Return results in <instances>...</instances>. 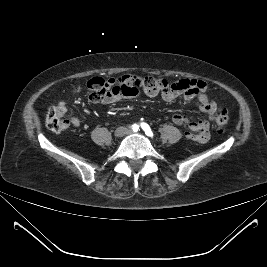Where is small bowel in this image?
I'll return each instance as SVG.
<instances>
[{
	"instance_id": "1",
	"label": "small bowel",
	"mask_w": 267,
	"mask_h": 267,
	"mask_svg": "<svg viewBox=\"0 0 267 267\" xmlns=\"http://www.w3.org/2000/svg\"><path fill=\"white\" fill-rule=\"evenodd\" d=\"M119 79L110 78L104 80L100 77L91 78L86 86L91 93L89 98L92 102H100L103 104H113L126 97H134L123 93L118 83ZM182 88L178 90L161 91V97L165 101H172L178 97H182L185 102L196 99L199 109L207 115V118L198 121H191L188 117L182 114H175L173 122L179 126H185L188 131L185 133L187 139L197 142L206 143L210 138V121L214 118L218 111L216 102L211 100L206 93L207 85L204 81L197 79H184L179 81ZM157 93H150L149 96H154ZM55 112L62 119L65 128L70 126H80L79 118L72 116L66 117L67 106L64 101H59L56 104Z\"/></svg>"
}]
</instances>
